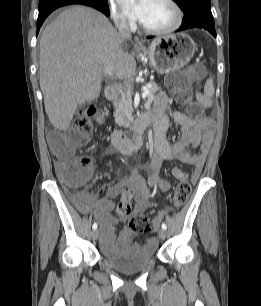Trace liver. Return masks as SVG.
Here are the masks:
<instances>
[{"label":"liver","mask_w":261,"mask_h":306,"mask_svg":"<svg viewBox=\"0 0 261 306\" xmlns=\"http://www.w3.org/2000/svg\"><path fill=\"white\" fill-rule=\"evenodd\" d=\"M122 43L105 15L84 6L64 10L44 29L39 84L54 128L67 130L78 105L98 97L111 60L118 79L134 76L136 61Z\"/></svg>","instance_id":"liver-1"}]
</instances>
